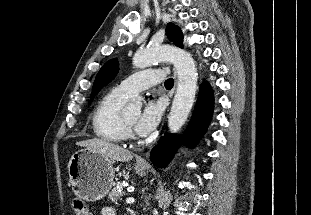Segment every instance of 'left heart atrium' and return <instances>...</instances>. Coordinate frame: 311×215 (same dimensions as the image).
Instances as JSON below:
<instances>
[{
    "mask_svg": "<svg viewBox=\"0 0 311 215\" xmlns=\"http://www.w3.org/2000/svg\"><path fill=\"white\" fill-rule=\"evenodd\" d=\"M163 108V103L159 100H150L146 103L134 122L138 135L146 136L156 128L160 121Z\"/></svg>",
    "mask_w": 311,
    "mask_h": 215,
    "instance_id": "1",
    "label": "left heart atrium"
}]
</instances>
